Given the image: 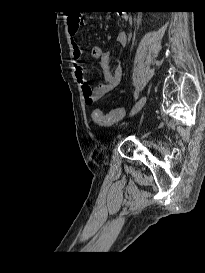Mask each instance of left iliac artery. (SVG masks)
I'll list each match as a JSON object with an SVG mask.
<instances>
[{
  "label": "left iliac artery",
  "instance_id": "1",
  "mask_svg": "<svg viewBox=\"0 0 205 273\" xmlns=\"http://www.w3.org/2000/svg\"><path fill=\"white\" fill-rule=\"evenodd\" d=\"M138 96H139V89H136L134 94L135 100L138 98Z\"/></svg>",
  "mask_w": 205,
  "mask_h": 273
}]
</instances>
